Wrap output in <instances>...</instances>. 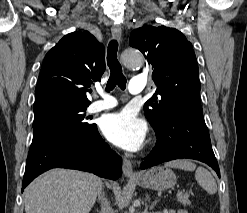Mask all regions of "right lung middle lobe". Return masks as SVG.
I'll use <instances>...</instances> for the list:
<instances>
[{
    "mask_svg": "<svg viewBox=\"0 0 247 213\" xmlns=\"http://www.w3.org/2000/svg\"><path fill=\"white\" fill-rule=\"evenodd\" d=\"M88 105L69 101H56L34 110L33 133L45 126L62 125L91 129L95 124L87 122L85 110Z\"/></svg>",
    "mask_w": 247,
    "mask_h": 213,
    "instance_id": "right-lung-middle-lobe-1",
    "label": "right lung middle lobe"
}]
</instances>
